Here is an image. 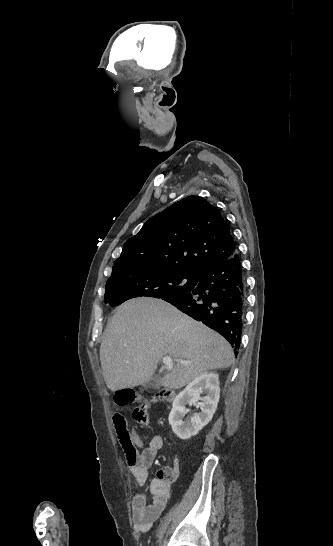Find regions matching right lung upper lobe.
Returning a JSON list of instances; mask_svg holds the SVG:
<instances>
[{"label":"right lung upper lobe","instance_id":"right-lung-upper-lobe-1","mask_svg":"<svg viewBox=\"0 0 333 546\" xmlns=\"http://www.w3.org/2000/svg\"><path fill=\"white\" fill-rule=\"evenodd\" d=\"M237 252L219 211L199 196L186 197L150 218L124 244L113 270H145L199 275Z\"/></svg>","mask_w":333,"mask_h":546}]
</instances>
